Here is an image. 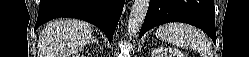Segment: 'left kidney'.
Returning <instances> with one entry per match:
<instances>
[{
	"instance_id": "5707ae66",
	"label": "left kidney",
	"mask_w": 249,
	"mask_h": 57,
	"mask_svg": "<svg viewBox=\"0 0 249 57\" xmlns=\"http://www.w3.org/2000/svg\"><path fill=\"white\" fill-rule=\"evenodd\" d=\"M151 57H186V55L176 48L158 47L152 51Z\"/></svg>"
}]
</instances>
